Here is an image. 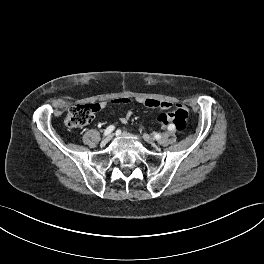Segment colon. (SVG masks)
<instances>
[{"label":"colon","instance_id":"5ec220e1","mask_svg":"<svg viewBox=\"0 0 264 264\" xmlns=\"http://www.w3.org/2000/svg\"><path fill=\"white\" fill-rule=\"evenodd\" d=\"M118 100L120 99L113 100L112 102ZM99 109L100 105L98 103L74 105L67 113L66 125L72 129L81 128L91 122L94 114ZM157 120L162 126L172 124L177 131H183L187 125L188 111L185 107L178 105L171 112L159 114Z\"/></svg>","mask_w":264,"mask_h":264}]
</instances>
